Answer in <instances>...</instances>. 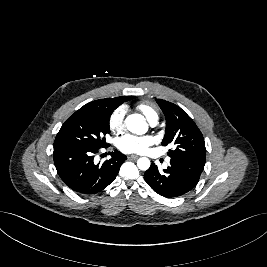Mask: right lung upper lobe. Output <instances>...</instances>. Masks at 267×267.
Returning <instances> with one entry per match:
<instances>
[{
    "instance_id": "obj_1",
    "label": "right lung upper lobe",
    "mask_w": 267,
    "mask_h": 267,
    "mask_svg": "<svg viewBox=\"0 0 267 267\" xmlns=\"http://www.w3.org/2000/svg\"><path fill=\"white\" fill-rule=\"evenodd\" d=\"M133 99V96H125V97H116V98H107V99H100L96 101H92L90 103H87L79 110H87L95 107H110L112 109H116L119 105H121L123 102L129 101Z\"/></svg>"
}]
</instances>
